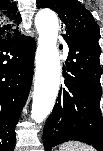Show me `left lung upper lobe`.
Listing matches in <instances>:
<instances>
[{
  "label": "left lung upper lobe",
  "instance_id": "1",
  "mask_svg": "<svg viewBox=\"0 0 103 151\" xmlns=\"http://www.w3.org/2000/svg\"><path fill=\"white\" fill-rule=\"evenodd\" d=\"M38 8L58 13L64 27L63 37L98 41L100 31L90 12L78 0H37Z\"/></svg>",
  "mask_w": 103,
  "mask_h": 151
}]
</instances>
